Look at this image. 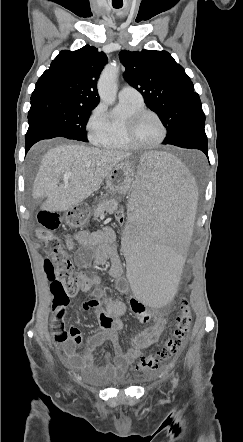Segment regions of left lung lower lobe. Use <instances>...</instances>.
<instances>
[{
  "instance_id": "0a47b994",
  "label": "left lung lower lobe",
  "mask_w": 243,
  "mask_h": 442,
  "mask_svg": "<svg viewBox=\"0 0 243 442\" xmlns=\"http://www.w3.org/2000/svg\"><path fill=\"white\" fill-rule=\"evenodd\" d=\"M204 125L205 121L191 124L179 136L171 140L169 144L182 148L199 149L208 157V143Z\"/></svg>"
}]
</instances>
